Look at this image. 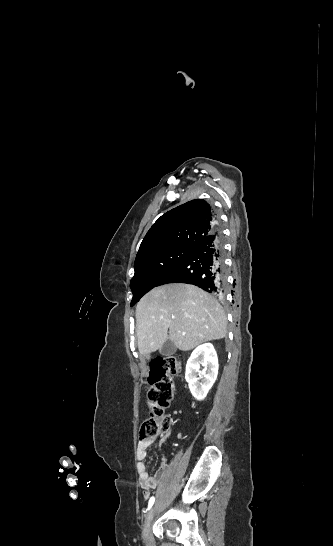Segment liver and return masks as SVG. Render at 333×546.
<instances>
[{
  "instance_id": "liver-1",
  "label": "liver",
  "mask_w": 333,
  "mask_h": 546,
  "mask_svg": "<svg viewBox=\"0 0 333 546\" xmlns=\"http://www.w3.org/2000/svg\"><path fill=\"white\" fill-rule=\"evenodd\" d=\"M138 349L147 360L168 340L181 351L226 336L227 318L218 301L185 283L156 287L136 307ZM169 330V331H168Z\"/></svg>"
}]
</instances>
